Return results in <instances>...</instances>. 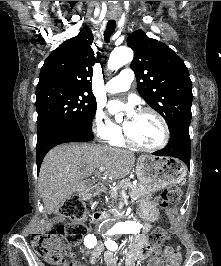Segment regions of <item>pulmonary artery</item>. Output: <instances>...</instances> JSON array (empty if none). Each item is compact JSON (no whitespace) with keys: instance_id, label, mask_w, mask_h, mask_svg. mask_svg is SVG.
I'll list each match as a JSON object with an SVG mask.
<instances>
[{"instance_id":"pulmonary-artery-1","label":"pulmonary artery","mask_w":221,"mask_h":266,"mask_svg":"<svg viewBox=\"0 0 221 266\" xmlns=\"http://www.w3.org/2000/svg\"><path fill=\"white\" fill-rule=\"evenodd\" d=\"M133 81V73L130 69L122 70L118 76L109 80L105 85V90L108 93H119L129 90Z\"/></svg>"}]
</instances>
